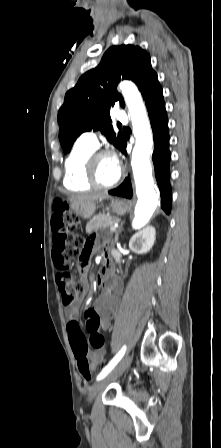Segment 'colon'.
Instances as JSON below:
<instances>
[{
    "mask_svg": "<svg viewBox=\"0 0 221 448\" xmlns=\"http://www.w3.org/2000/svg\"><path fill=\"white\" fill-rule=\"evenodd\" d=\"M55 208L60 211V217L52 219V226L56 232L54 237L53 259L59 270L58 284L65 307L75 304L77 298L83 293V285L76 281L70 268V262L78 260L87 265L90 258V248L87 242L78 233L77 216L69 212L68 203L57 200ZM100 320L94 309H88L85 313V329L89 335L88 341L80 336L81 329L76 321H71L68 326L69 337L75 351L77 368L83 379L90 381L92 371L87 359L88 344L95 348L105 346V339L99 331Z\"/></svg>",
    "mask_w": 221,
    "mask_h": 448,
    "instance_id": "1",
    "label": "colon"
}]
</instances>
